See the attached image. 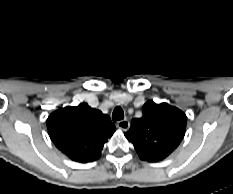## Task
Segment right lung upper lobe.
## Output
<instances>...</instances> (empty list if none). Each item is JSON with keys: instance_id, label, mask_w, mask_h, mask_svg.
Returning <instances> with one entry per match:
<instances>
[{"instance_id": "cb5924a9", "label": "right lung upper lobe", "mask_w": 233, "mask_h": 194, "mask_svg": "<svg viewBox=\"0 0 233 194\" xmlns=\"http://www.w3.org/2000/svg\"><path fill=\"white\" fill-rule=\"evenodd\" d=\"M56 147L70 159L87 163L98 159L116 128L108 115L86 103L53 112L46 121Z\"/></svg>"}]
</instances>
